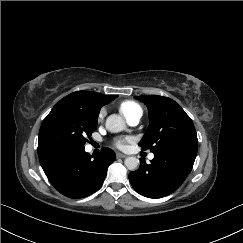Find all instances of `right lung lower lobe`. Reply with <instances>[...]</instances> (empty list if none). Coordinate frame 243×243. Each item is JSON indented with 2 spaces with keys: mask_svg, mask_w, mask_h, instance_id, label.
<instances>
[{
  "mask_svg": "<svg viewBox=\"0 0 243 243\" xmlns=\"http://www.w3.org/2000/svg\"><path fill=\"white\" fill-rule=\"evenodd\" d=\"M38 156L50 183L70 198H83L97 191L108 166L116 159L115 153L107 148L96 156L86 153L84 148L54 149Z\"/></svg>",
  "mask_w": 243,
  "mask_h": 243,
  "instance_id": "1",
  "label": "right lung lower lobe"
}]
</instances>
